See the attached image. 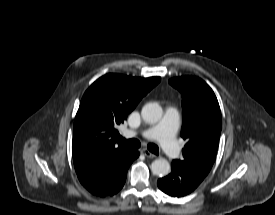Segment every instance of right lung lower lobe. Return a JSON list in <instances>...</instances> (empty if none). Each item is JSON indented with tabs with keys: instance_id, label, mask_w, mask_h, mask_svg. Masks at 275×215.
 I'll return each instance as SVG.
<instances>
[{
	"instance_id": "1",
	"label": "right lung lower lobe",
	"mask_w": 275,
	"mask_h": 215,
	"mask_svg": "<svg viewBox=\"0 0 275 215\" xmlns=\"http://www.w3.org/2000/svg\"><path fill=\"white\" fill-rule=\"evenodd\" d=\"M138 156L139 152L131 149L101 156L76 173L81 184L93 195L112 196L123 187L127 170Z\"/></svg>"
}]
</instances>
